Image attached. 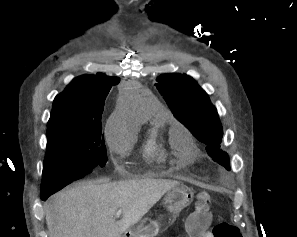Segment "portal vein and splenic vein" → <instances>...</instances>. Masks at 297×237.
Here are the masks:
<instances>
[{
	"mask_svg": "<svg viewBox=\"0 0 297 237\" xmlns=\"http://www.w3.org/2000/svg\"><path fill=\"white\" fill-rule=\"evenodd\" d=\"M121 213H122V210L121 209H119L117 212H116V216L118 217V216H120L121 215Z\"/></svg>",
	"mask_w": 297,
	"mask_h": 237,
	"instance_id": "18ae733b",
	"label": "portal vein and splenic vein"
}]
</instances>
